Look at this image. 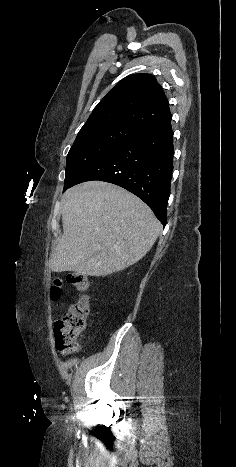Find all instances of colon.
Masks as SVG:
<instances>
[{"mask_svg":"<svg viewBox=\"0 0 236 467\" xmlns=\"http://www.w3.org/2000/svg\"><path fill=\"white\" fill-rule=\"evenodd\" d=\"M68 283L75 289L85 292L89 288V280L85 274L74 272L68 277ZM63 283L56 279L51 287V299L58 302L62 295ZM90 314V303L87 296H82L70 303L68 310L54 324L55 342L58 351L63 355H71L78 350L77 340L85 331Z\"/></svg>","mask_w":236,"mask_h":467,"instance_id":"obj_1","label":"colon"}]
</instances>
